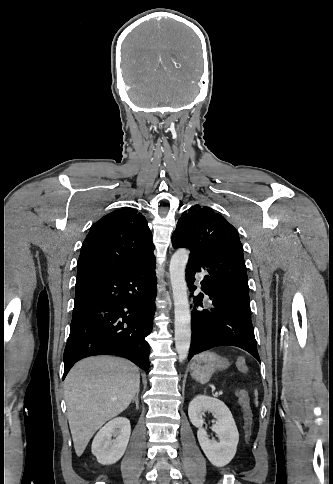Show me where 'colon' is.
I'll use <instances>...</instances> for the list:
<instances>
[{"label": "colon", "mask_w": 333, "mask_h": 484, "mask_svg": "<svg viewBox=\"0 0 333 484\" xmlns=\"http://www.w3.org/2000/svg\"><path fill=\"white\" fill-rule=\"evenodd\" d=\"M237 367L243 373H247L249 370L244 358H239L237 360ZM235 393L244 413L245 437H246V440L249 441L251 436V426H252V412H251L250 403H249V396L247 391L241 388L237 389Z\"/></svg>", "instance_id": "1"}]
</instances>
